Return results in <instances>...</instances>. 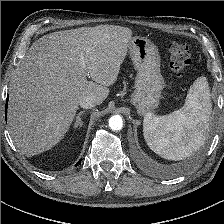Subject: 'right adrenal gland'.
<instances>
[{
  "mask_svg": "<svg viewBox=\"0 0 224 224\" xmlns=\"http://www.w3.org/2000/svg\"><path fill=\"white\" fill-rule=\"evenodd\" d=\"M85 114V111H81L77 114L76 116V121H75V124H74V128H77V127H81L83 125V122L81 121V116Z\"/></svg>",
  "mask_w": 224,
  "mask_h": 224,
  "instance_id": "right-adrenal-gland-1",
  "label": "right adrenal gland"
}]
</instances>
